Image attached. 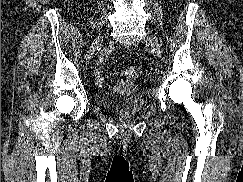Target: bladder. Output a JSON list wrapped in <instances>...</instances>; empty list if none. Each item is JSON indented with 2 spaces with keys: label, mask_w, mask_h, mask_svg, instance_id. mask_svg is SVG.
Returning <instances> with one entry per match:
<instances>
[{
  "label": "bladder",
  "mask_w": 243,
  "mask_h": 182,
  "mask_svg": "<svg viewBox=\"0 0 243 182\" xmlns=\"http://www.w3.org/2000/svg\"><path fill=\"white\" fill-rule=\"evenodd\" d=\"M100 107L122 115H135L144 108V99L134 93L123 94L108 91H98L94 96Z\"/></svg>",
  "instance_id": "31cf9c89"
}]
</instances>
